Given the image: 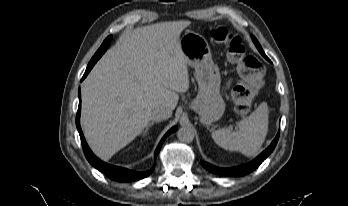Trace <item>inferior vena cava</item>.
<instances>
[{"label":"inferior vena cava","instance_id":"inferior-vena-cava-1","mask_svg":"<svg viewBox=\"0 0 348 206\" xmlns=\"http://www.w3.org/2000/svg\"><path fill=\"white\" fill-rule=\"evenodd\" d=\"M172 112L162 106L155 107L152 111V119L154 121H162L170 118Z\"/></svg>","mask_w":348,"mask_h":206}]
</instances>
